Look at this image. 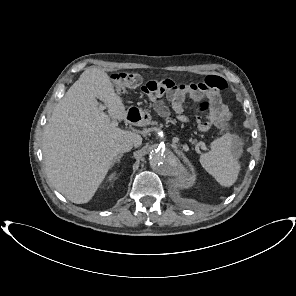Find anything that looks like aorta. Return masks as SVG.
<instances>
[{"label": "aorta", "mask_w": 296, "mask_h": 296, "mask_svg": "<svg viewBox=\"0 0 296 296\" xmlns=\"http://www.w3.org/2000/svg\"><path fill=\"white\" fill-rule=\"evenodd\" d=\"M150 165L158 172L164 174L174 173L187 182L188 176L182 167H179L178 158L172 151L164 147L153 149L149 154Z\"/></svg>", "instance_id": "1"}]
</instances>
